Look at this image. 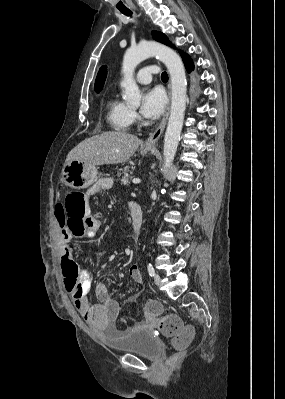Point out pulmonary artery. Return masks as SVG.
<instances>
[{"label":"pulmonary artery","mask_w":285,"mask_h":399,"mask_svg":"<svg viewBox=\"0 0 285 399\" xmlns=\"http://www.w3.org/2000/svg\"><path fill=\"white\" fill-rule=\"evenodd\" d=\"M153 75H159V68L156 65H148L138 71L137 81L141 84H148Z\"/></svg>","instance_id":"obj_1"}]
</instances>
